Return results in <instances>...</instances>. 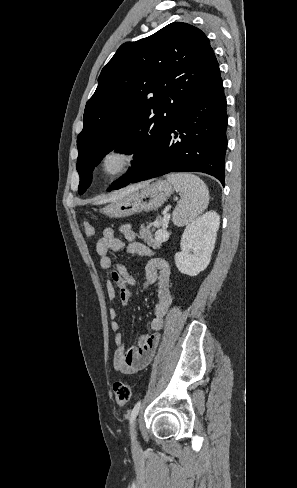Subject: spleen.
<instances>
[{
	"label": "spleen",
	"instance_id": "spleen-1",
	"mask_svg": "<svg viewBox=\"0 0 297 488\" xmlns=\"http://www.w3.org/2000/svg\"><path fill=\"white\" fill-rule=\"evenodd\" d=\"M167 180L181 195L173 212V221L176 225L183 226L189 223L207 208L208 188L199 177L193 174L176 173L167 175Z\"/></svg>",
	"mask_w": 297,
	"mask_h": 488
}]
</instances>
